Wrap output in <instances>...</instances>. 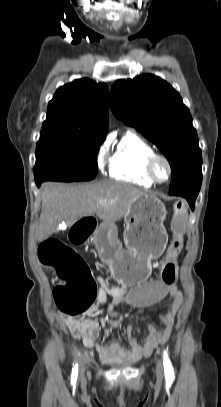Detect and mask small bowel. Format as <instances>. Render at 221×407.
Wrapping results in <instances>:
<instances>
[{"label": "small bowel", "instance_id": "1", "mask_svg": "<svg viewBox=\"0 0 221 407\" xmlns=\"http://www.w3.org/2000/svg\"><path fill=\"white\" fill-rule=\"evenodd\" d=\"M97 280L99 282L96 295L97 305L89 308L88 317L65 316L66 326L75 338L81 339L87 347L95 348L104 360L123 361H137L141 357L149 355L158 344L166 341L182 303V293L177 286H174V292H165L166 296L171 297V306L166 313L161 314V325H149V335L143 343H140L135 337L129 336L128 347H126L118 341H110L109 338L112 330L123 320L122 315L115 312L113 307L120 303L128 304L130 295L124 293V288L130 285H113L101 276H98ZM108 295L113 298L111 304H107ZM98 315H101L99 319ZM100 326L104 328V337L107 340L101 344L97 343Z\"/></svg>", "mask_w": 221, "mask_h": 407}]
</instances>
